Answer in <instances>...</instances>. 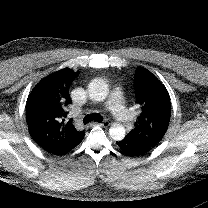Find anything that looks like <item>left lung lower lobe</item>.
Returning <instances> with one entry per match:
<instances>
[{"label":"left lung lower lobe","instance_id":"obj_1","mask_svg":"<svg viewBox=\"0 0 208 208\" xmlns=\"http://www.w3.org/2000/svg\"><path fill=\"white\" fill-rule=\"evenodd\" d=\"M117 145L123 153H126L129 156H140L146 154L154 148L128 137H125L123 140L117 142Z\"/></svg>","mask_w":208,"mask_h":208}]
</instances>
